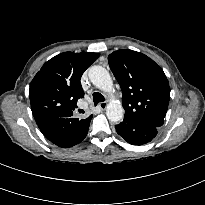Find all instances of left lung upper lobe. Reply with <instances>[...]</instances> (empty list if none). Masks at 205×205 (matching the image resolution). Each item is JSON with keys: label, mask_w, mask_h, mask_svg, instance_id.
<instances>
[{"label": "left lung upper lobe", "mask_w": 205, "mask_h": 205, "mask_svg": "<svg viewBox=\"0 0 205 205\" xmlns=\"http://www.w3.org/2000/svg\"><path fill=\"white\" fill-rule=\"evenodd\" d=\"M108 61L123 93L124 117L162 126L170 98L163 70L148 56L133 50L115 51Z\"/></svg>", "instance_id": "1"}]
</instances>
